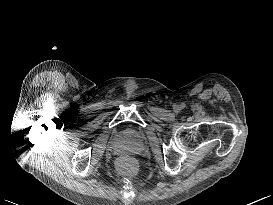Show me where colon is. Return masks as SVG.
Instances as JSON below:
<instances>
[{"mask_svg": "<svg viewBox=\"0 0 273 205\" xmlns=\"http://www.w3.org/2000/svg\"><path fill=\"white\" fill-rule=\"evenodd\" d=\"M118 168L123 175H130L135 169V163L130 158H123L119 162Z\"/></svg>", "mask_w": 273, "mask_h": 205, "instance_id": "1", "label": "colon"}]
</instances>
